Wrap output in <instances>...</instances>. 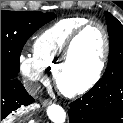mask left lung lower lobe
Here are the masks:
<instances>
[{
    "mask_svg": "<svg viewBox=\"0 0 123 123\" xmlns=\"http://www.w3.org/2000/svg\"><path fill=\"white\" fill-rule=\"evenodd\" d=\"M68 113L70 123H123V78L110 85L97 82Z\"/></svg>",
    "mask_w": 123,
    "mask_h": 123,
    "instance_id": "left-lung-lower-lobe-1",
    "label": "left lung lower lobe"
}]
</instances>
